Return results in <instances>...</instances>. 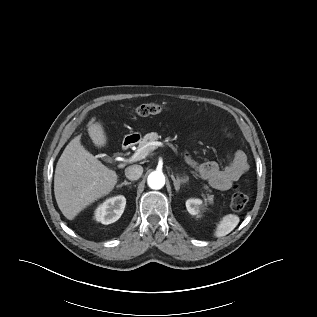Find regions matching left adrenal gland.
<instances>
[{"label":"left adrenal gland","instance_id":"obj_1","mask_svg":"<svg viewBox=\"0 0 317 317\" xmlns=\"http://www.w3.org/2000/svg\"><path fill=\"white\" fill-rule=\"evenodd\" d=\"M171 178L173 180V184H174L175 190L177 192L179 191L181 184H184L187 181V178H185V177L180 178L178 175L176 176V179H175L173 174L171 175Z\"/></svg>","mask_w":317,"mask_h":317}]
</instances>
